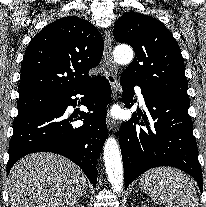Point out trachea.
I'll use <instances>...</instances> for the list:
<instances>
[{"label": "trachea", "mask_w": 206, "mask_h": 207, "mask_svg": "<svg viewBox=\"0 0 206 207\" xmlns=\"http://www.w3.org/2000/svg\"><path fill=\"white\" fill-rule=\"evenodd\" d=\"M109 79H110V81H113V78L111 76L109 77Z\"/></svg>", "instance_id": "trachea-1"}]
</instances>
